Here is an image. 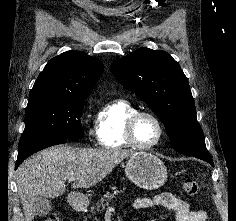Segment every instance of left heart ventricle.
Segmentation results:
<instances>
[{
  "label": "left heart ventricle",
  "instance_id": "b2bd125f",
  "mask_svg": "<svg viewBox=\"0 0 236 221\" xmlns=\"http://www.w3.org/2000/svg\"><path fill=\"white\" fill-rule=\"evenodd\" d=\"M158 127L156 123L149 117H141L135 126L136 140L142 145H149L158 138Z\"/></svg>",
  "mask_w": 236,
  "mask_h": 221
}]
</instances>
